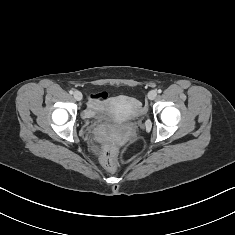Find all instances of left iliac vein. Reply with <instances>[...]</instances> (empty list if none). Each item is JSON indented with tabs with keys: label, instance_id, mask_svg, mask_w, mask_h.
<instances>
[{
	"label": "left iliac vein",
	"instance_id": "left-iliac-vein-1",
	"mask_svg": "<svg viewBox=\"0 0 235 235\" xmlns=\"http://www.w3.org/2000/svg\"><path fill=\"white\" fill-rule=\"evenodd\" d=\"M157 96V92L155 90H151L149 93H148V98L150 100H154Z\"/></svg>",
	"mask_w": 235,
	"mask_h": 235
}]
</instances>
